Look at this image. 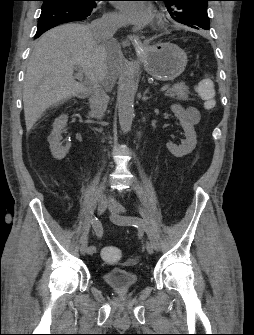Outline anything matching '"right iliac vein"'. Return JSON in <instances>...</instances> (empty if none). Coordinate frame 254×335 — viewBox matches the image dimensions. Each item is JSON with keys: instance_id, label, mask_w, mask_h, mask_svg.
Segmentation results:
<instances>
[{"instance_id": "obj_1", "label": "right iliac vein", "mask_w": 254, "mask_h": 335, "mask_svg": "<svg viewBox=\"0 0 254 335\" xmlns=\"http://www.w3.org/2000/svg\"><path fill=\"white\" fill-rule=\"evenodd\" d=\"M107 206H108V199L106 198V196H103V195L100 196L97 200L98 213L99 214L104 213ZM87 250H88V241L84 240L79 247V252H80L81 255L84 256L85 254L88 253Z\"/></svg>"}]
</instances>
